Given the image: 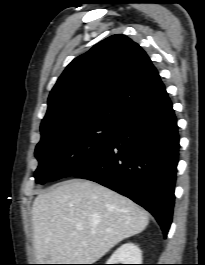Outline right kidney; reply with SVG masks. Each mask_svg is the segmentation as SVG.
<instances>
[{"label":"right kidney","mask_w":205,"mask_h":265,"mask_svg":"<svg viewBox=\"0 0 205 265\" xmlns=\"http://www.w3.org/2000/svg\"><path fill=\"white\" fill-rule=\"evenodd\" d=\"M141 261L140 248L133 243H126L112 254L107 264H141Z\"/></svg>","instance_id":"ca27d5eb"}]
</instances>
